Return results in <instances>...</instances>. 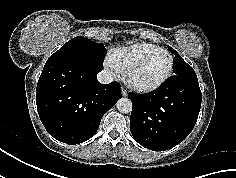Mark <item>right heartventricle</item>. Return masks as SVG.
Masks as SVG:
<instances>
[{
	"label": "right heart ventricle",
	"instance_id": "e07e8e85",
	"mask_svg": "<svg viewBox=\"0 0 236 178\" xmlns=\"http://www.w3.org/2000/svg\"><path fill=\"white\" fill-rule=\"evenodd\" d=\"M157 51H162V49L149 43H136L113 50L109 56V62L117 71L125 73L133 63Z\"/></svg>",
	"mask_w": 236,
	"mask_h": 178
}]
</instances>
